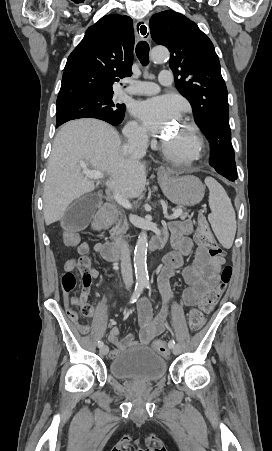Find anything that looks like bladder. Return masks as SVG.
I'll list each match as a JSON object with an SVG mask.
<instances>
[{
	"instance_id": "obj_1",
	"label": "bladder",
	"mask_w": 272,
	"mask_h": 451,
	"mask_svg": "<svg viewBox=\"0 0 272 451\" xmlns=\"http://www.w3.org/2000/svg\"><path fill=\"white\" fill-rule=\"evenodd\" d=\"M109 374L119 382L152 383L165 378V358L148 348H137L117 355L108 365Z\"/></svg>"
}]
</instances>
